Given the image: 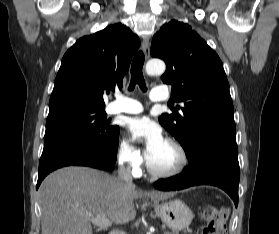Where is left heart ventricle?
Wrapping results in <instances>:
<instances>
[{
  "mask_svg": "<svg viewBox=\"0 0 279 234\" xmlns=\"http://www.w3.org/2000/svg\"><path fill=\"white\" fill-rule=\"evenodd\" d=\"M178 159L176 149L165 141L158 149L148 156L150 164L155 169L161 171L172 169L178 163Z\"/></svg>",
  "mask_w": 279,
  "mask_h": 234,
  "instance_id": "left-heart-ventricle-1",
  "label": "left heart ventricle"
}]
</instances>
